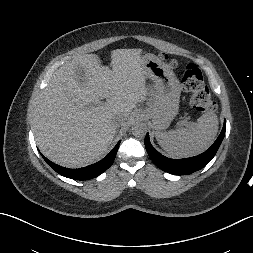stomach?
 <instances>
[{"mask_svg":"<svg viewBox=\"0 0 253 253\" xmlns=\"http://www.w3.org/2000/svg\"><path fill=\"white\" fill-rule=\"evenodd\" d=\"M143 71L155 83L157 97L147 110L156 130H165L178 113L180 84L171 67L153 54L142 56Z\"/></svg>","mask_w":253,"mask_h":253,"instance_id":"obj_1","label":"stomach"}]
</instances>
